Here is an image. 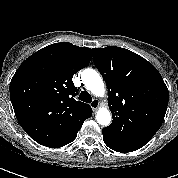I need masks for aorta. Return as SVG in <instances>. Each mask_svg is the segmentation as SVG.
Wrapping results in <instances>:
<instances>
[{"label":"aorta","mask_w":178,"mask_h":178,"mask_svg":"<svg viewBox=\"0 0 178 178\" xmlns=\"http://www.w3.org/2000/svg\"><path fill=\"white\" fill-rule=\"evenodd\" d=\"M81 79L85 87L95 96L102 97L105 94V86L99 73L91 68L84 69L81 73ZM111 113L106 107L97 111V122L102 126H108L111 123Z\"/></svg>","instance_id":"1"}]
</instances>
